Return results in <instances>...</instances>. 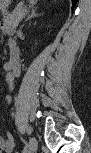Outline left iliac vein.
I'll return each mask as SVG.
<instances>
[{"label":"left iliac vein","mask_w":91,"mask_h":153,"mask_svg":"<svg viewBox=\"0 0 91 153\" xmlns=\"http://www.w3.org/2000/svg\"><path fill=\"white\" fill-rule=\"evenodd\" d=\"M30 143V151L35 152L37 150V140L35 137H31L29 140Z\"/></svg>","instance_id":"obj_1"}]
</instances>
